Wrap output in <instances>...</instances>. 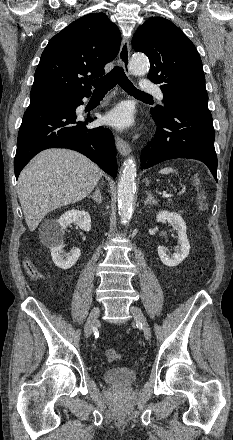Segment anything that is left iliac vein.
Here are the masks:
<instances>
[{"label":"left iliac vein","instance_id":"left-iliac-vein-1","mask_svg":"<svg viewBox=\"0 0 233 440\" xmlns=\"http://www.w3.org/2000/svg\"><path fill=\"white\" fill-rule=\"evenodd\" d=\"M130 313L133 315L136 322L141 324V326L143 328L144 336L147 340H149L151 337V330H150L149 324H148L143 312L138 307L131 306Z\"/></svg>","mask_w":233,"mask_h":440}]
</instances>
